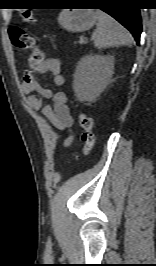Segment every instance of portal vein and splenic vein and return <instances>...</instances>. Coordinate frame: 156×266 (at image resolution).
Wrapping results in <instances>:
<instances>
[{"instance_id":"portal-vein-and-splenic-vein-1","label":"portal vein and splenic vein","mask_w":156,"mask_h":266,"mask_svg":"<svg viewBox=\"0 0 156 266\" xmlns=\"http://www.w3.org/2000/svg\"><path fill=\"white\" fill-rule=\"evenodd\" d=\"M84 42H85V41H84L83 39L80 40V43H81V44L84 43Z\"/></svg>"}]
</instances>
